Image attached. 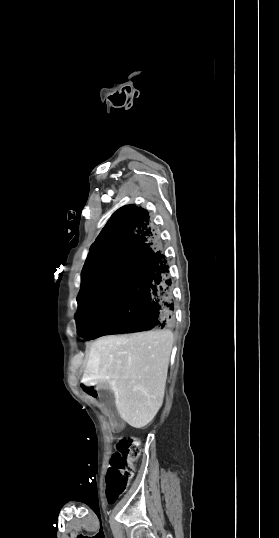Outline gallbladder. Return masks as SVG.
<instances>
[{
	"label": "gallbladder",
	"mask_w": 279,
	"mask_h": 538,
	"mask_svg": "<svg viewBox=\"0 0 279 538\" xmlns=\"http://www.w3.org/2000/svg\"><path fill=\"white\" fill-rule=\"evenodd\" d=\"M100 394H102V399L104 400V407L107 408V410L110 413L109 418L113 422H117L120 420L121 415L116 410L115 400L113 398V392L112 390H109V388H103V390H100ZM116 429H119V426H116Z\"/></svg>",
	"instance_id": "gallbladder-1"
}]
</instances>
